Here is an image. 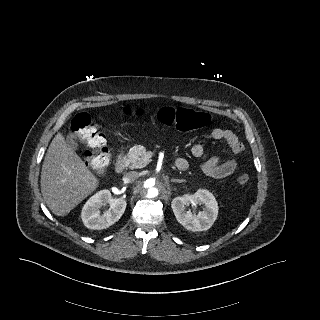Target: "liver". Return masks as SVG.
<instances>
[{
	"label": "liver",
	"instance_id": "obj_1",
	"mask_svg": "<svg viewBox=\"0 0 320 320\" xmlns=\"http://www.w3.org/2000/svg\"><path fill=\"white\" fill-rule=\"evenodd\" d=\"M40 183L45 203L57 216H65L98 186L97 178L61 133L47 150Z\"/></svg>",
	"mask_w": 320,
	"mask_h": 320
}]
</instances>
